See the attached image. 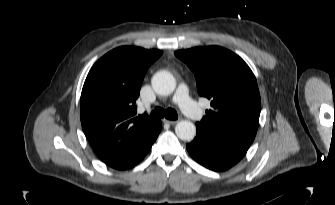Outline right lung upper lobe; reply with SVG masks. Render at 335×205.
I'll list each match as a JSON object with an SVG mask.
<instances>
[{
    "label": "right lung upper lobe",
    "mask_w": 335,
    "mask_h": 205,
    "mask_svg": "<svg viewBox=\"0 0 335 205\" xmlns=\"http://www.w3.org/2000/svg\"><path fill=\"white\" fill-rule=\"evenodd\" d=\"M162 53L122 46L89 71L81 93V124L102 161L136 155L159 135L161 121L146 113L137 115L136 101L147 69Z\"/></svg>",
    "instance_id": "right-lung-upper-lobe-1"
}]
</instances>
